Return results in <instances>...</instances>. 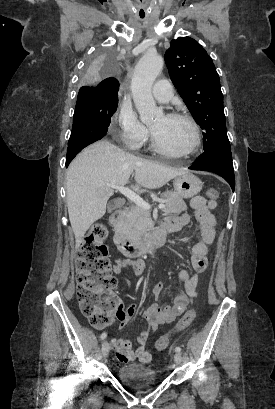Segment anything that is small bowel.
<instances>
[{
	"instance_id": "c3829d8e",
	"label": "small bowel",
	"mask_w": 275,
	"mask_h": 409,
	"mask_svg": "<svg viewBox=\"0 0 275 409\" xmlns=\"http://www.w3.org/2000/svg\"><path fill=\"white\" fill-rule=\"evenodd\" d=\"M215 202L207 200L202 196H196L191 200V207L195 212V218L199 224L201 237L197 240L191 249V262L194 268V272L190 273L185 269L179 271L178 275L183 283L182 289L176 294L172 305H159L152 303L143 312V318L147 325L136 339L138 348L133 351L132 346L134 340L132 338L125 337H112L110 344L112 349L115 350V358L121 362L127 360H143L144 366L152 365V354L150 351H145L144 344L148 334H151L160 324L169 323L175 320V318L181 315L186 308L190 305L193 299L198 297L197 285L198 274L204 272L208 265V252L209 247L213 243L215 236L216 219L212 213L215 208ZM177 222V228H169L172 230H179L189 222L188 215H181L175 219H169L166 223L170 226L172 223ZM131 268L136 274L141 273L144 270V263L142 261H119L114 267V274L120 275L121 269ZM121 283H125V286L129 290L132 297H136V292L133 286L126 278L120 279ZM164 290L163 283H158L154 289L153 294L155 298H158ZM119 307L116 311V319L120 328H125L127 322L133 321L132 316L136 313V306L131 305L125 310V303L119 301L117 303ZM127 316V318H126Z\"/></svg>"
}]
</instances>
